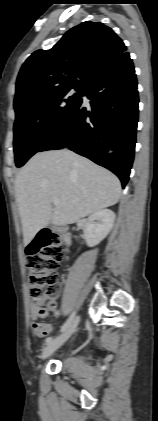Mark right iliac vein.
<instances>
[{
    "label": "right iliac vein",
    "mask_w": 158,
    "mask_h": 421,
    "mask_svg": "<svg viewBox=\"0 0 158 421\" xmlns=\"http://www.w3.org/2000/svg\"><path fill=\"white\" fill-rule=\"evenodd\" d=\"M79 316H76L70 325L67 327V329L60 334L58 337L50 341L45 348L43 349V352L41 354V358L45 359L49 357L51 354H53L58 348H60L68 339L69 337L74 333L76 330L78 323H79Z\"/></svg>",
    "instance_id": "right-iliac-vein-1"
}]
</instances>
